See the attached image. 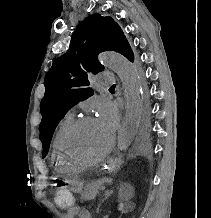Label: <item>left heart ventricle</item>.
<instances>
[{
  "label": "left heart ventricle",
  "instance_id": "left-heart-ventricle-1",
  "mask_svg": "<svg viewBox=\"0 0 211 218\" xmlns=\"http://www.w3.org/2000/svg\"><path fill=\"white\" fill-rule=\"evenodd\" d=\"M112 136L94 118L81 125L73 134L69 153L79 159L94 157L111 143Z\"/></svg>",
  "mask_w": 211,
  "mask_h": 218
}]
</instances>
